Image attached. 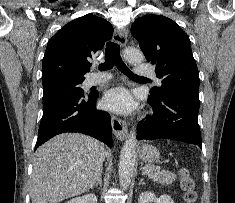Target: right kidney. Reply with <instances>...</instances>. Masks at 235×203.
I'll return each mask as SVG.
<instances>
[{"label":"right kidney","instance_id":"right-kidney-1","mask_svg":"<svg viewBox=\"0 0 235 203\" xmlns=\"http://www.w3.org/2000/svg\"><path fill=\"white\" fill-rule=\"evenodd\" d=\"M67 203H97L95 194H87L82 197L73 198Z\"/></svg>","mask_w":235,"mask_h":203}]
</instances>
